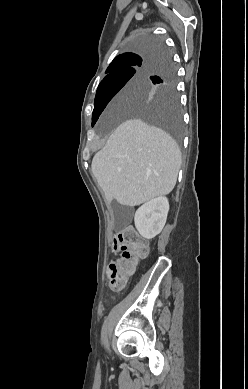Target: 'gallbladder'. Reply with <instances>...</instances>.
I'll return each instance as SVG.
<instances>
[{"label": "gallbladder", "mask_w": 248, "mask_h": 389, "mask_svg": "<svg viewBox=\"0 0 248 389\" xmlns=\"http://www.w3.org/2000/svg\"><path fill=\"white\" fill-rule=\"evenodd\" d=\"M112 207H113V210L115 213L117 212V210L122 211V214L120 217H122L123 219H127L128 221L130 220L131 209L129 207H120L116 201H113Z\"/></svg>", "instance_id": "gallbladder-1"}]
</instances>
